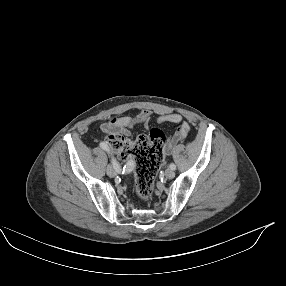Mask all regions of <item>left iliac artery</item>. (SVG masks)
<instances>
[{
  "label": "left iliac artery",
  "mask_w": 286,
  "mask_h": 286,
  "mask_svg": "<svg viewBox=\"0 0 286 286\" xmlns=\"http://www.w3.org/2000/svg\"><path fill=\"white\" fill-rule=\"evenodd\" d=\"M169 168H170L171 170H175V169H176V165L172 163V164L169 165Z\"/></svg>",
  "instance_id": "obj_1"
}]
</instances>
